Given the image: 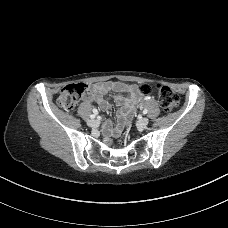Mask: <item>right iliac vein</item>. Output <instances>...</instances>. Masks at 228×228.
Segmentation results:
<instances>
[{
    "label": "right iliac vein",
    "instance_id": "63e3f726",
    "mask_svg": "<svg viewBox=\"0 0 228 228\" xmlns=\"http://www.w3.org/2000/svg\"><path fill=\"white\" fill-rule=\"evenodd\" d=\"M87 124H88V126H90V127H95V126H97V125L99 124V122H98L97 120H95V119H92V120H89V121L87 122Z\"/></svg>",
    "mask_w": 228,
    "mask_h": 228
}]
</instances>
